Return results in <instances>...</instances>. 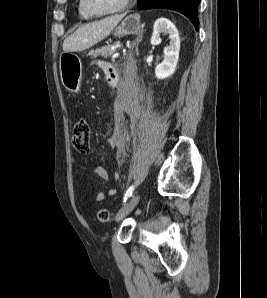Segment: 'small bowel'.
<instances>
[{
	"mask_svg": "<svg viewBox=\"0 0 267 298\" xmlns=\"http://www.w3.org/2000/svg\"><path fill=\"white\" fill-rule=\"evenodd\" d=\"M99 67L107 74V72L113 67L109 62L100 60L97 62ZM128 110L129 114L131 116H134L136 114V104L133 103L132 101L129 103V105L126 107ZM92 173L96 176H98L101 179H108L109 175L107 170L102 166V165H95L92 168ZM117 193L116 189H110L108 191V195L113 196ZM106 198V194L104 192H98L96 195V201L97 202H102Z\"/></svg>",
	"mask_w": 267,
	"mask_h": 298,
	"instance_id": "c3829d8e",
	"label": "small bowel"
}]
</instances>
